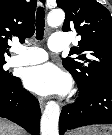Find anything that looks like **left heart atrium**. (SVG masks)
<instances>
[{"label":"left heart atrium","instance_id":"obj_1","mask_svg":"<svg viewBox=\"0 0 112 135\" xmlns=\"http://www.w3.org/2000/svg\"><path fill=\"white\" fill-rule=\"evenodd\" d=\"M22 81L28 90L42 96L65 94L70 87L69 78L50 63L26 68Z\"/></svg>","mask_w":112,"mask_h":135}]
</instances>
